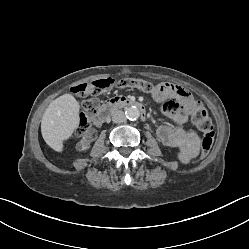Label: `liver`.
I'll list each match as a JSON object with an SVG mask.
<instances>
[{
    "label": "liver",
    "mask_w": 249,
    "mask_h": 249,
    "mask_svg": "<svg viewBox=\"0 0 249 249\" xmlns=\"http://www.w3.org/2000/svg\"><path fill=\"white\" fill-rule=\"evenodd\" d=\"M79 102L64 94L53 100L45 110L41 121V133L46 144L56 152H62L64 141L79 126Z\"/></svg>",
    "instance_id": "6515ba94"
}]
</instances>
